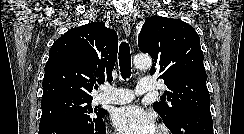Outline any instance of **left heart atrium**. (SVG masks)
Segmentation results:
<instances>
[{
    "instance_id": "obj_1",
    "label": "left heart atrium",
    "mask_w": 244,
    "mask_h": 134,
    "mask_svg": "<svg viewBox=\"0 0 244 134\" xmlns=\"http://www.w3.org/2000/svg\"><path fill=\"white\" fill-rule=\"evenodd\" d=\"M112 122L121 134H155L153 117L136 105L117 108L112 113Z\"/></svg>"
}]
</instances>
